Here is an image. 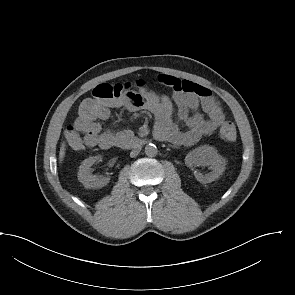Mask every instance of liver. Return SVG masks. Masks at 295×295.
Here are the masks:
<instances>
[{
  "label": "liver",
  "instance_id": "1",
  "mask_svg": "<svg viewBox=\"0 0 295 295\" xmlns=\"http://www.w3.org/2000/svg\"><path fill=\"white\" fill-rule=\"evenodd\" d=\"M65 157V144L62 143L60 147V152H59V162L62 163L63 159Z\"/></svg>",
  "mask_w": 295,
  "mask_h": 295
}]
</instances>
